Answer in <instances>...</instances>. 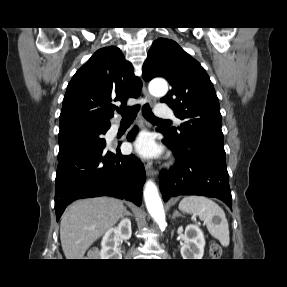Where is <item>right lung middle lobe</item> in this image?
<instances>
[{"mask_svg":"<svg viewBox=\"0 0 287 287\" xmlns=\"http://www.w3.org/2000/svg\"><path fill=\"white\" fill-rule=\"evenodd\" d=\"M110 126L98 125L88 122H76L60 127L59 147L74 142L104 143L102 137Z\"/></svg>","mask_w":287,"mask_h":287,"instance_id":"dd1d6c3e","label":"right lung middle lobe"}]
</instances>
